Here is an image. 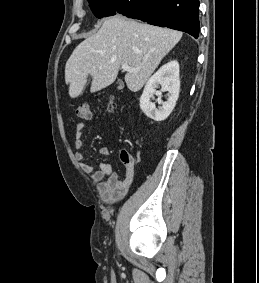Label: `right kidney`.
<instances>
[{
    "label": "right kidney",
    "mask_w": 259,
    "mask_h": 283,
    "mask_svg": "<svg viewBox=\"0 0 259 283\" xmlns=\"http://www.w3.org/2000/svg\"><path fill=\"white\" fill-rule=\"evenodd\" d=\"M161 85V91L156 88ZM179 63L172 60L163 65L146 83L140 98V108L144 114L154 121L165 120L172 112L179 97ZM162 92H168V100H161ZM154 95L158 96L157 102L161 106L156 108L155 103L151 102Z\"/></svg>",
    "instance_id": "ca27d5eb"
}]
</instances>
